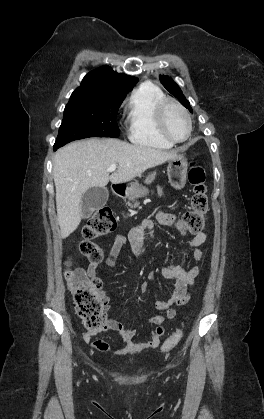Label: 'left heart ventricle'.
<instances>
[{"instance_id":"obj_1","label":"left heart ventricle","mask_w":264,"mask_h":419,"mask_svg":"<svg viewBox=\"0 0 264 419\" xmlns=\"http://www.w3.org/2000/svg\"><path fill=\"white\" fill-rule=\"evenodd\" d=\"M165 126L168 133L175 139H184L188 133L185 116L174 106H170L165 114Z\"/></svg>"}]
</instances>
